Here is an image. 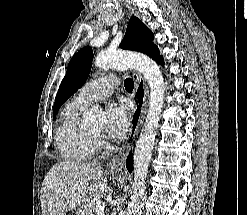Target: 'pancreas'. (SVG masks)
Instances as JSON below:
<instances>
[{
    "label": "pancreas",
    "mask_w": 247,
    "mask_h": 215,
    "mask_svg": "<svg viewBox=\"0 0 247 215\" xmlns=\"http://www.w3.org/2000/svg\"><path fill=\"white\" fill-rule=\"evenodd\" d=\"M100 203L99 200L96 201H91L83 206L80 207L79 209V214L80 215H95L96 213V207Z\"/></svg>",
    "instance_id": "obj_1"
}]
</instances>
